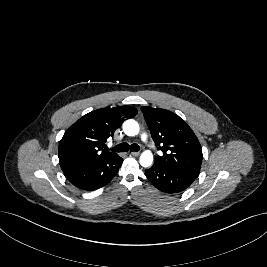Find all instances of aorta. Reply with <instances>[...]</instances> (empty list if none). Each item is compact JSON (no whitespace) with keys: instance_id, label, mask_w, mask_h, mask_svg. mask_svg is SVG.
Returning a JSON list of instances; mask_svg holds the SVG:
<instances>
[{"instance_id":"1","label":"aorta","mask_w":267,"mask_h":267,"mask_svg":"<svg viewBox=\"0 0 267 267\" xmlns=\"http://www.w3.org/2000/svg\"><path fill=\"white\" fill-rule=\"evenodd\" d=\"M139 125L133 119H128L123 123V131L128 136H135L139 133ZM140 165L143 167H149L153 163V154L150 150H145L139 159Z\"/></svg>"}]
</instances>
